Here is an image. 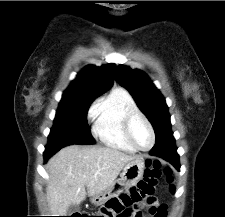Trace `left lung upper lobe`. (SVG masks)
I'll use <instances>...</instances> for the list:
<instances>
[{
    "label": "left lung upper lobe",
    "instance_id": "5c2ea615",
    "mask_svg": "<svg viewBox=\"0 0 225 217\" xmlns=\"http://www.w3.org/2000/svg\"><path fill=\"white\" fill-rule=\"evenodd\" d=\"M116 78L118 83L130 92L154 128L156 143L150 152L176 150L168 107L164 97L149 77L140 70H132L128 66L120 65L116 70Z\"/></svg>",
    "mask_w": 225,
    "mask_h": 217
}]
</instances>
